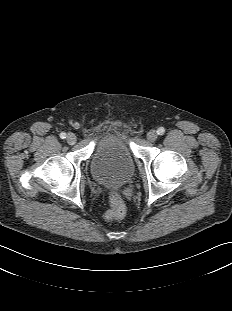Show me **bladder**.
Returning a JSON list of instances; mask_svg holds the SVG:
<instances>
[{
    "mask_svg": "<svg viewBox=\"0 0 232 311\" xmlns=\"http://www.w3.org/2000/svg\"><path fill=\"white\" fill-rule=\"evenodd\" d=\"M134 161L125 139L107 133L97 140L91 158V173L100 184L121 186L134 173Z\"/></svg>",
    "mask_w": 232,
    "mask_h": 311,
    "instance_id": "obj_1",
    "label": "bladder"
}]
</instances>
